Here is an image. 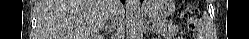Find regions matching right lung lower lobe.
Returning a JSON list of instances; mask_svg holds the SVG:
<instances>
[{
	"label": "right lung lower lobe",
	"mask_w": 249,
	"mask_h": 39,
	"mask_svg": "<svg viewBox=\"0 0 249 39\" xmlns=\"http://www.w3.org/2000/svg\"><path fill=\"white\" fill-rule=\"evenodd\" d=\"M122 1V3H124L125 2V0H121Z\"/></svg>",
	"instance_id": "1"
}]
</instances>
